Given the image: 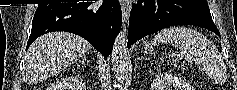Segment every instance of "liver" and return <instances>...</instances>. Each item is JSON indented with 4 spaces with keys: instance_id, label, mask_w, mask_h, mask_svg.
I'll return each mask as SVG.
<instances>
[{
    "instance_id": "liver-1",
    "label": "liver",
    "mask_w": 237,
    "mask_h": 90,
    "mask_svg": "<svg viewBox=\"0 0 237 90\" xmlns=\"http://www.w3.org/2000/svg\"><path fill=\"white\" fill-rule=\"evenodd\" d=\"M91 48L87 40L68 32H50L40 36L31 44L24 58L29 84H38L40 78L45 80L62 72L83 58Z\"/></svg>"
}]
</instances>
